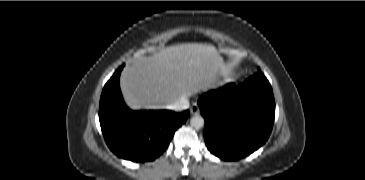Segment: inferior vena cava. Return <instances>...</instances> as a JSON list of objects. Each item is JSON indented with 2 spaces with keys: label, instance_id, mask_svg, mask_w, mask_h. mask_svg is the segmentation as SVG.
<instances>
[{
  "label": "inferior vena cava",
  "instance_id": "602c4592",
  "mask_svg": "<svg viewBox=\"0 0 365 180\" xmlns=\"http://www.w3.org/2000/svg\"><path fill=\"white\" fill-rule=\"evenodd\" d=\"M167 109L181 111L189 108V101L187 98L182 97L181 99L177 100L173 104H170L166 107Z\"/></svg>",
  "mask_w": 365,
  "mask_h": 180
}]
</instances>
